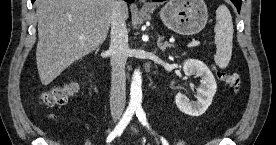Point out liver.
<instances>
[{
	"mask_svg": "<svg viewBox=\"0 0 276 145\" xmlns=\"http://www.w3.org/2000/svg\"><path fill=\"white\" fill-rule=\"evenodd\" d=\"M116 0H37V69L50 84L67 67L94 51L108 34ZM128 17V9L126 8ZM83 37L84 39H80Z\"/></svg>",
	"mask_w": 276,
	"mask_h": 145,
	"instance_id": "obj_1",
	"label": "liver"
}]
</instances>
